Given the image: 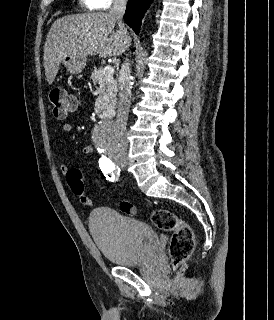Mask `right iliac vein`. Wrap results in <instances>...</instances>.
<instances>
[{
  "label": "right iliac vein",
  "instance_id": "right-iliac-vein-1",
  "mask_svg": "<svg viewBox=\"0 0 274 320\" xmlns=\"http://www.w3.org/2000/svg\"><path fill=\"white\" fill-rule=\"evenodd\" d=\"M117 165H119L120 167H125L127 164V161L125 159H117L116 160Z\"/></svg>",
  "mask_w": 274,
  "mask_h": 320
}]
</instances>
